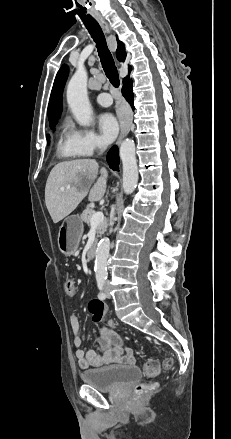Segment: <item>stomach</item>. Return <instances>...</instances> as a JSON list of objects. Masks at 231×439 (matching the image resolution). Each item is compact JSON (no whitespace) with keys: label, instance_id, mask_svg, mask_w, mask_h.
<instances>
[{"label":"stomach","instance_id":"stomach-1","mask_svg":"<svg viewBox=\"0 0 231 439\" xmlns=\"http://www.w3.org/2000/svg\"><path fill=\"white\" fill-rule=\"evenodd\" d=\"M83 230L79 216L72 215L64 220L58 233V247L64 255L70 256L77 251Z\"/></svg>","mask_w":231,"mask_h":439}]
</instances>
